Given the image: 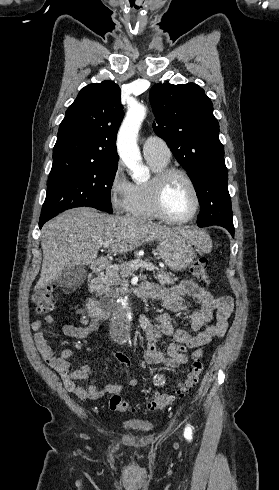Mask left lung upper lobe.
<instances>
[{
  "mask_svg": "<svg viewBox=\"0 0 279 490\" xmlns=\"http://www.w3.org/2000/svg\"><path fill=\"white\" fill-rule=\"evenodd\" d=\"M149 97L155 133L166 141L195 187L198 226H233L224 149L211 100L194 83L155 84Z\"/></svg>",
  "mask_w": 279,
  "mask_h": 490,
  "instance_id": "5c2ea615",
  "label": "left lung upper lobe"
}]
</instances>
